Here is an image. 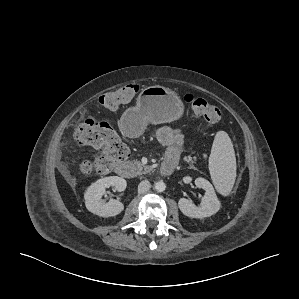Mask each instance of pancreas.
Here are the masks:
<instances>
[{
    "label": "pancreas",
    "mask_w": 299,
    "mask_h": 299,
    "mask_svg": "<svg viewBox=\"0 0 299 299\" xmlns=\"http://www.w3.org/2000/svg\"><path fill=\"white\" fill-rule=\"evenodd\" d=\"M196 160H197L196 157H192V156H185L184 157V161L190 163V168H194L193 164L196 162ZM133 164H134L135 169H136V175L146 174V173H148L152 170L151 167L144 166L143 164H141L137 160H134Z\"/></svg>",
    "instance_id": "cf45deb5"
}]
</instances>
